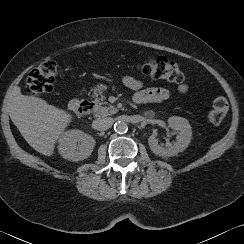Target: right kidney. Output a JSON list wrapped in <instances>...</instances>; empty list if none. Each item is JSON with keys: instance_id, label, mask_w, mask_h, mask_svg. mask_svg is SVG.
<instances>
[{"instance_id": "1", "label": "right kidney", "mask_w": 244, "mask_h": 244, "mask_svg": "<svg viewBox=\"0 0 244 244\" xmlns=\"http://www.w3.org/2000/svg\"><path fill=\"white\" fill-rule=\"evenodd\" d=\"M58 143L60 155L64 159L76 162L88 158L95 147L94 138L78 129L63 132Z\"/></svg>"}]
</instances>
